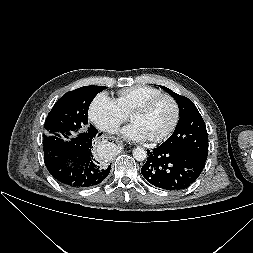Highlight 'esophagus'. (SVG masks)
I'll use <instances>...</instances> for the list:
<instances>
[{"label": "esophagus", "mask_w": 253, "mask_h": 253, "mask_svg": "<svg viewBox=\"0 0 253 253\" xmlns=\"http://www.w3.org/2000/svg\"><path fill=\"white\" fill-rule=\"evenodd\" d=\"M112 142L117 144L118 146L121 145V142L118 139H112Z\"/></svg>", "instance_id": "esophagus-1"}]
</instances>
